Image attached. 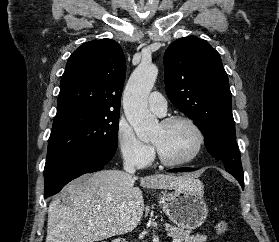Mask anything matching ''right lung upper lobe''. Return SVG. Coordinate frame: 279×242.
I'll use <instances>...</instances> for the list:
<instances>
[{
	"instance_id": "right-lung-upper-lobe-1",
	"label": "right lung upper lobe",
	"mask_w": 279,
	"mask_h": 242,
	"mask_svg": "<svg viewBox=\"0 0 279 242\" xmlns=\"http://www.w3.org/2000/svg\"><path fill=\"white\" fill-rule=\"evenodd\" d=\"M125 73L117 42L101 39L82 44L69 57L61 77L57 114L79 109L119 113Z\"/></svg>"
}]
</instances>
